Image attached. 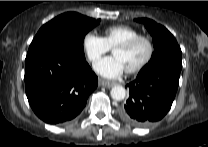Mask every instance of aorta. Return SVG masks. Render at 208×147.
<instances>
[{"instance_id": "1", "label": "aorta", "mask_w": 208, "mask_h": 147, "mask_svg": "<svg viewBox=\"0 0 208 147\" xmlns=\"http://www.w3.org/2000/svg\"><path fill=\"white\" fill-rule=\"evenodd\" d=\"M110 94H111L112 99L121 101L126 96V90L124 87L117 85L111 89Z\"/></svg>"}]
</instances>
